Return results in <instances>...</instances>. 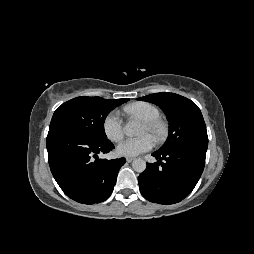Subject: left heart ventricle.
<instances>
[{"instance_id":"left-heart-ventricle-1","label":"left heart ventricle","mask_w":254,"mask_h":254,"mask_svg":"<svg viewBox=\"0 0 254 254\" xmlns=\"http://www.w3.org/2000/svg\"><path fill=\"white\" fill-rule=\"evenodd\" d=\"M141 134H147V135L151 136L150 131L148 130V128L144 124L142 126Z\"/></svg>"}]
</instances>
